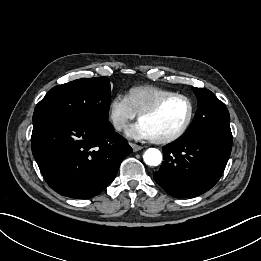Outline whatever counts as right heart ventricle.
<instances>
[{"instance_id": "right-heart-ventricle-1", "label": "right heart ventricle", "mask_w": 261, "mask_h": 261, "mask_svg": "<svg viewBox=\"0 0 261 261\" xmlns=\"http://www.w3.org/2000/svg\"><path fill=\"white\" fill-rule=\"evenodd\" d=\"M171 92L159 87L144 85L132 87L127 92V99L136 114L152 105L161 97Z\"/></svg>"}]
</instances>
